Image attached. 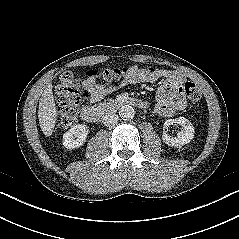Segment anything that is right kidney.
I'll return each mask as SVG.
<instances>
[{
    "label": "right kidney",
    "mask_w": 239,
    "mask_h": 239,
    "mask_svg": "<svg viewBox=\"0 0 239 239\" xmlns=\"http://www.w3.org/2000/svg\"><path fill=\"white\" fill-rule=\"evenodd\" d=\"M89 129L85 124L74 125L63 135V145L67 149H75L86 142Z\"/></svg>",
    "instance_id": "right-kidney-1"
}]
</instances>
